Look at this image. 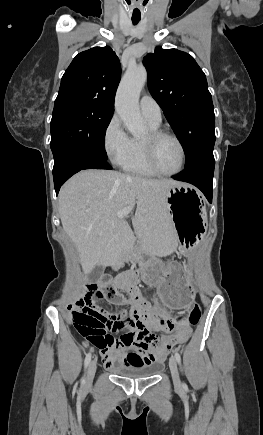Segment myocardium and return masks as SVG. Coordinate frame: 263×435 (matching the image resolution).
I'll use <instances>...</instances> for the list:
<instances>
[{"label":"myocardium","instance_id":"1","mask_svg":"<svg viewBox=\"0 0 263 435\" xmlns=\"http://www.w3.org/2000/svg\"><path fill=\"white\" fill-rule=\"evenodd\" d=\"M162 138H170V139L174 140L178 144V146L181 150V154H182L181 165L175 171L165 172V171L161 170L156 163L155 146H156L157 142ZM143 144H144V150H145V156H146L147 163H148L149 167L156 174L162 175V176H173V175L180 173L184 169V167L186 165V160H187L186 149H185L183 142L175 134L168 132L166 130L159 129V128L153 129V130H150V132L148 133V136L143 139Z\"/></svg>","mask_w":263,"mask_h":435}]
</instances>
